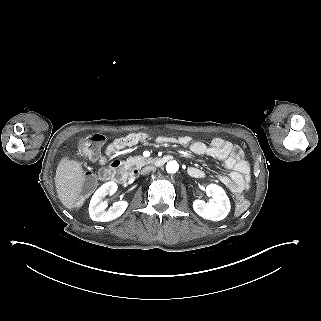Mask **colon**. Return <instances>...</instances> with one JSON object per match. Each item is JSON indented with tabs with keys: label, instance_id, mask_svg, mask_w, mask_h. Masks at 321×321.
Returning <instances> with one entry per match:
<instances>
[{
	"label": "colon",
	"instance_id": "1",
	"mask_svg": "<svg viewBox=\"0 0 321 321\" xmlns=\"http://www.w3.org/2000/svg\"><path fill=\"white\" fill-rule=\"evenodd\" d=\"M105 142V136L99 133H93L85 137L78 146L79 154L90 158H95L100 152L102 145ZM95 184L93 177H87L84 183V188L90 190ZM249 206L248 200L242 196L237 195L235 197V212L241 214Z\"/></svg>",
	"mask_w": 321,
	"mask_h": 321
}]
</instances>
